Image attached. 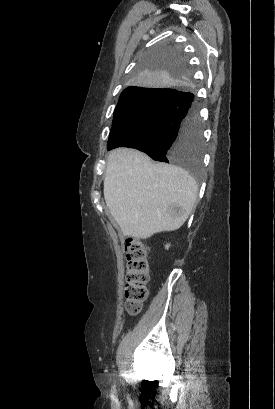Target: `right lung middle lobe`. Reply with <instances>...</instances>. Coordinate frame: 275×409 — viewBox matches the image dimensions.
<instances>
[{
  "label": "right lung middle lobe",
  "instance_id": "1",
  "mask_svg": "<svg viewBox=\"0 0 275 409\" xmlns=\"http://www.w3.org/2000/svg\"><path fill=\"white\" fill-rule=\"evenodd\" d=\"M127 82L135 93L119 101L107 149L130 147L153 160L184 167L194 182H202L203 143L196 94L188 91L190 71L185 57L151 51ZM158 56V57H157Z\"/></svg>",
  "mask_w": 275,
  "mask_h": 409
}]
</instances>
